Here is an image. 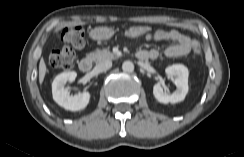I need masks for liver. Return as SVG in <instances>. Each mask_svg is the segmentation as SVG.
<instances>
[{
	"mask_svg": "<svg viewBox=\"0 0 244 157\" xmlns=\"http://www.w3.org/2000/svg\"><path fill=\"white\" fill-rule=\"evenodd\" d=\"M46 73H47V67H46L44 59L41 58L40 63H39V82H40V84L43 83Z\"/></svg>",
	"mask_w": 244,
	"mask_h": 157,
	"instance_id": "6515ba94",
	"label": "liver"
}]
</instances>
